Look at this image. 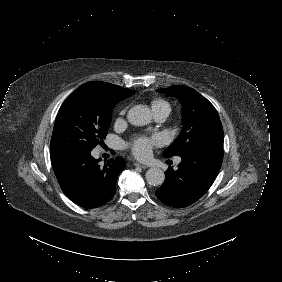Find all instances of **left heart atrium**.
Wrapping results in <instances>:
<instances>
[{
    "label": "left heart atrium",
    "mask_w": 282,
    "mask_h": 282,
    "mask_svg": "<svg viewBox=\"0 0 282 282\" xmlns=\"http://www.w3.org/2000/svg\"><path fill=\"white\" fill-rule=\"evenodd\" d=\"M156 141H150L148 139H141L137 141L133 146V152L141 160H146L150 157L152 143Z\"/></svg>",
    "instance_id": "left-heart-atrium-1"
}]
</instances>
